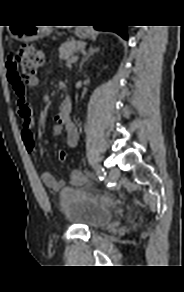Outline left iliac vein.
Instances as JSON below:
<instances>
[{
	"label": "left iliac vein",
	"mask_w": 184,
	"mask_h": 292,
	"mask_svg": "<svg viewBox=\"0 0 184 292\" xmlns=\"http://www.w3.org/2000/svg\"><path fill=\"white\" fill-rule=\"evenodd\" d=\"M120 176V171L116 168L110 170L109 174H108V180L110 182H115L118 177Z\"/></svg>",
	"instance_id": "1"
}]
</instances>
